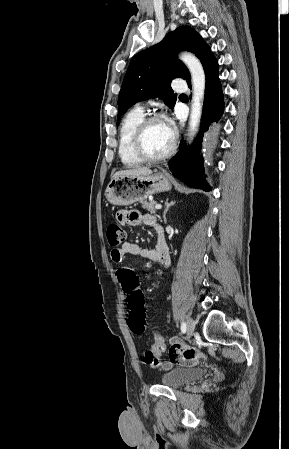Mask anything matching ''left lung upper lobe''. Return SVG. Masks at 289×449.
Here are the masks:
<instances>
[{"instance_id":"obj_1","label":"left lung upper lobe","mask_w":289,"mask_h":449,"mask_svg":"<svg viewBox=\"0 0 289 449\" xmlns=\"http://www.w3.org/2000/svg\"><path fill=\"white\" fill-rule=\"evenodd\" d=\"M181 50L196 54L201 62L210 53L209 46L194 29L182 26L132 58L118 97V120L136 102L154 97L163 99L171 109L174 107L176 94L170 86L171 80L190 81L187 67L176 57Z\"/></svg>"}]
</instances>
